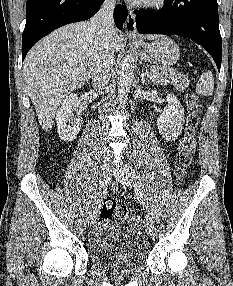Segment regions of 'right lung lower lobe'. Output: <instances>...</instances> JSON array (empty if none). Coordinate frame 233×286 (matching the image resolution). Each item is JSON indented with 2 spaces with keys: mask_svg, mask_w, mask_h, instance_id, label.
<instances>
[{
  "mask_svg": "<svg viewBox=\"0 0 233 286\" xmlns=\"http://www.w3.org/2000/svg\"><path fill=\"white\" fill-rule=\"evenodd\" d=\"M104 0H27L26 25L22 35V59L30 48L53 30L73 22L92 17ZM128 11L116 5L114 21L118 29L123 28Z\"/></svg>",
  "mask_w": 233,
  "mask_h": 286,
  "instance_id": "obj_1",
  "label": "right lung lower lobe"
}]
</instances>
